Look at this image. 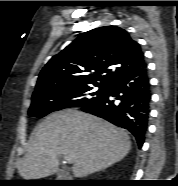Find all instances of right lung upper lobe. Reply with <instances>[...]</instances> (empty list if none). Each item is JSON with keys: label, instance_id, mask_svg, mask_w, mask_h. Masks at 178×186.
I'll return each mask as SVG.
<instances>
[{"label": "right lung upper lobe", "instance_id": "cb5924a9", "mask_svg": "<svg viewBox=\"0 0 178 186\" xmlns=\"http://www.w3.org/2000/svg\"><path fill=\"white\" fill-rule=\"evenodd\" d=\"M145 63L140 45L124 30L105 26L80 36L42 69L33 94L51 89L109 84L119 74ZM102 73L106 75L101 76Z\"/></svg>", "mask_w": 178, "mask_h": 186}]
</instances>
